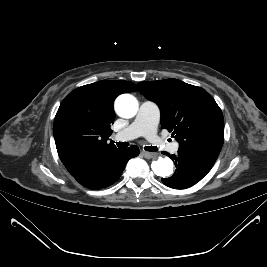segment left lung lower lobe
I'll return each mask as SVG.
<instances>
[{
    "label": "left lung lower lobe",
    "instance_id": "left-lung-lower-lobe-1",
    "mask_svg": "<svg viewBox=\"0 0 267 267\" xmlns=\"http://www.w3.org/2000/svg\"><path fill=\"white\" fill-rule=\"evenodd\" d=\"M163 154L174 161L177 169L171 177L162 178V182L174 189H185L196 184L210 171L217 159L180 149L177 155H170L167 152Z\"/></svg>",
    "mask_w": 267,
    "mask_h": 267
}]
</instances>
